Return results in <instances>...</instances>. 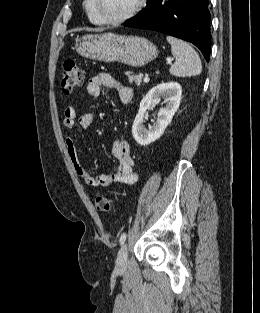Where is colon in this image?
Segmentation results:
<instances>
[{"label": "colon", "mask_w": 260, "mask_h": 313, "mask_svg": "<svg viewBox=\"0 0 260 313\" xmlns=\"http://www.w3.org/2000/svg\"><path fill=\"white\" fill-rule=\"evenodd\" d=\"M84 81V73L74 59H68L62 66L61 87L64 93L69 94L80 87ZM95 208L98 212L109 213L111 201L109 198L99 195L95 198Z\"/></svg>", "instance_id": "1"}]
</instances>
